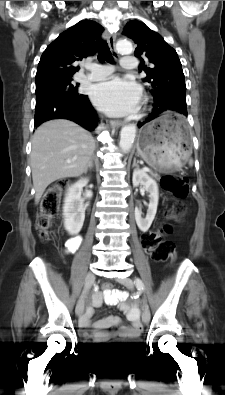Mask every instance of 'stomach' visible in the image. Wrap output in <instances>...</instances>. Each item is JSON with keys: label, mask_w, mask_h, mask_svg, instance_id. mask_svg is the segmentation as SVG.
Returning a JSON list of instances; mask_svg holds the SVG:
<instances>
[{"label": "stomach", "mask_w": 225, "mask_h": 395, "mask_svg": "<svg viewBox=\"0 0 225 395\" xmlns=\"http://www.w3.org/2000/svg\"><path fill=\"white\" fill-rule=\"evenodd\" d=\"M137 151L154 169L181 168L191 155L190 136L183 117L166 111L146 124L139 132Z\"/></svg>", "instance_id": "obj_1"}]
</instances>
